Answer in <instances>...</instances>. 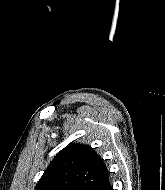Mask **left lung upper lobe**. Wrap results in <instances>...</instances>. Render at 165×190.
Masks as SVG:
<instances>
[{
    "label": "left lung upper lobe",
    "instance_id": "obj_1",
    "mask_svg": "<svg viewBox=\"0 0 165 190\" xmlns=\"http://www.w3.org/2000/svg\"><path fill=\"white\" fill-rule=\"evenodd\" d=\"M108 175L102 159L91 147L70 144L52 160L35 190H102Z\"/></svg>",
    "mask_w": 165,
    "mask_h": 190
}]
</instances>
